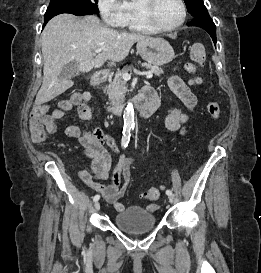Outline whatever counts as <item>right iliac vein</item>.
Segmentation results:
<instances>
[{"label": "right iliac vein", "mask_w": 261, "mask_h": 273, "mask_svg": "<svg viewBox=\"0 0 261 273\" xmlns=\"http://www.w3.org/2000/svg\"><path fill=\"white\" fill-rule=\"evenodd\" d=\"M94 207H95V210L98 211L100 209V202H96Z\"/></svg>", "instance_id": "obj_1"}]
</instances>
